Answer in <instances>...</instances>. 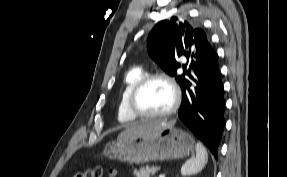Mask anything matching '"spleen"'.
I'll return each instance as SVG.
<instances>
[{
    "mask_svg": "<svg viewBox=\"0 0 287 177\" xmlns=\"http://www.w3.org/2000/svg\"><path fill=\"white\" fill-rule=\"evenodd\" d=\"M208 161V153L202 143L196 144V157L187 160L181 167V174L189 176L200 172Z\"/></svg>",
    "mask_w": 287,
    "mask_h": 177,
    "instance_id": "spleen-1",
    "label": "spleen"
}]
</instances>
